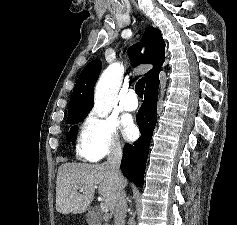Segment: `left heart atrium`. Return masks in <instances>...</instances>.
<instances>
[{"label": "left heart atrium", "instance_id": "1", "mask_svg": "<svg viewBox=\"0 0 237 225\" xmlns=\"http://www.w3.org/2000/svg\"><path fill=\"white\" fill-rule=\"evenodd\" d=\"M122 130L128 140H133L138 134V129L132 120H125L122 124Z\"/></svg>", "mask_w": 237, "mask_h": 225}]
</instances>
